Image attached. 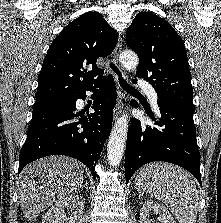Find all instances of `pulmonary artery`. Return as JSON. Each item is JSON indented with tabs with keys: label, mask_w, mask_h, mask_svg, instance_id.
<instances>
[{
	"label": "pulmonary artery",
	"mask_w": 221,
	"mask_h": 223,
	"mask_svg": "<svg viewBox=\"0 0 221 223\" xmlns=\"http://www.w3.org/2000/svg\"><path fill=\"white\" fill-rule=\"evenodd\" d=\"M138 86L146 92L155 110L159 111V108L157 105L158 96H157L156 91L150 86V84L146 80H140L138 82Z\"/></svg>",
	"instance_id": "e3ab8cb5"
}]
</instances>
